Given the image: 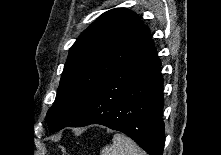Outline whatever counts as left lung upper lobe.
Instances as JSON below:
<instances>
[{"instance_id":"left-lung-upper-lobe-1","label":"left lung upper lobe","mask_w":221,"mask_h":155,"mask_svg":"<svg viewBox=\"0 0 221 155\" xmlns=\"http://www.w3.org/2000/svg\"><path fill=\"white\" fill-rule=\"evenodd\" d=\"M150 38L148 27L135 13L124 8L103 13L70 49L56 99L45 118L50 130L66 127L102 83Z\"/></svg>"}]
</instances>
